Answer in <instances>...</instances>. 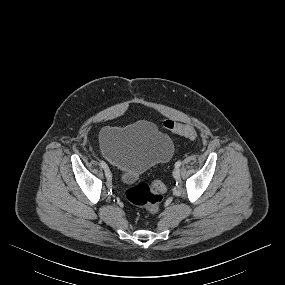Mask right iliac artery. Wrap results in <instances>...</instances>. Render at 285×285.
<instances>
[{"instance_id":"82829eb1","label":"right iliac artery","mask_w":285,"mask_h":285,"mask_svg":"<svg viewBox=\"0 0 285 285\" xmlns=\"http://www.w3.org/2000/svg\"><path fill=\"white\" fill-rule=\"evenodd\" d=\"M100 164H101V167L104 168V169H106L108 167L107 164L104 161H101Z\"/></svg>"}]
</instances>
